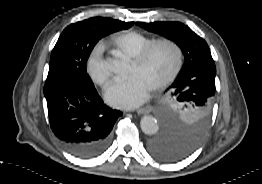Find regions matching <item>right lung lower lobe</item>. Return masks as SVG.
<instances>
[{"instance_id": "1", "label": "right lung lower lobe", "mask_w": 262, "mask_h": 184, "mask_svg": "<svg viewBox=\"0 0 262 184\" xmlns=\"http://www.w3.org/2000/svg\"><path fill=\"white\" fill-rule=\"evenodd\" d=\"M50 126L60 143L81 158L101 155L111 142V130L122 114L106 106L94 86L75 81L45 84Z\"/></svg>"}]
</instances>
